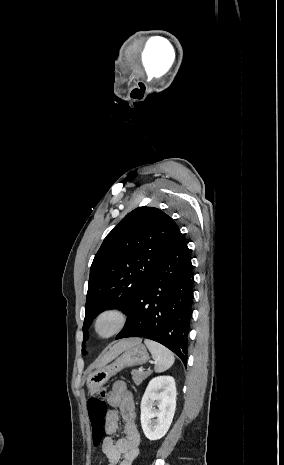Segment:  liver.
<instances>
[{
	"instance_id": "obj_1",
	"label": "liver",
	"mask_w": 284,
	"mask_h": 465,
	"mask_svg": "<svg viewBox=\"0 0 284 465\" xmlns=\"http://www.w3.org/2000/svg\"><path fill=\"white\" fill-rule=\"evenodd\" d=\"M141 343V339H126V341H119L116 345H113L111 349H109L108 353L102 357L100 363L96 365V367H104V365H108L110 361L116 359L120 353L123 351H127L130 347H135V345H139Z\"/></svg>"
}]
</instances>
